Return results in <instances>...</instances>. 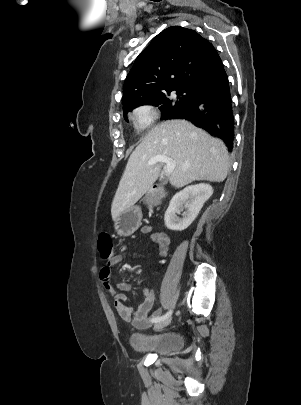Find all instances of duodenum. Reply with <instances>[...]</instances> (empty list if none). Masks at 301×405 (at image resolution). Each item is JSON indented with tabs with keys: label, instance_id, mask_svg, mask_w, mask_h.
<instances>
[{
	"label": "duodenum",
	"instance_id": "obj_1",
	"mask_svg": "<svg viewBox=\"0 0 301 405\" xmlns=\"http://www.w3.org/2000/svg\"><path fill=\"white\" fill-rule=\"evenodd\" d=\"M145 198L147 206H153L154 208H163L165 206L162 190L159 187H154L152 190H146Z\"/></svg>",
	"mask_w": 301,
	"mask_h": 405
}]
</instances>
